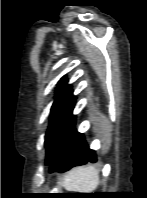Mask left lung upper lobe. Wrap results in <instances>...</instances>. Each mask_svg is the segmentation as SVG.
Segmentation results:
<instances>
[{"label": "left lung upper lobe", "instance_id": "5c2ea615", "mask_svg": "<svg viewBox=\"0 0 147 198\" xmlns=\"http://www.w3.org/2000/svg\"><path fill=\"white\" fill-rule=\"evenodd\" d=\"M58 85L55 100L51 107L52 115L49 127L45 136L46 164L50 161L53 152L63 137L75 124L76 118L72 115L76 97L72 94L71 86L67 85L65 78H62Z\"/></svg>", "mask_w": 147, "mask_h": 198}]
</instances>
